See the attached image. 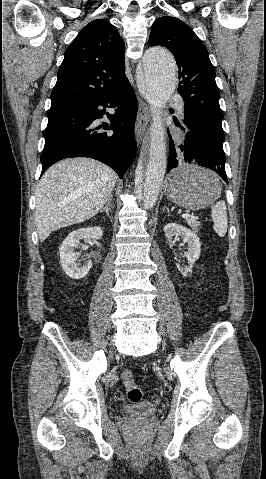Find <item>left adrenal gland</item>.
<instances>
[{"instance_id": "1", "label": "left adrenal gland", "mask_w": 266, "mask_h": 479, "mask_svg": "<svg viewBox=\"0 0 266 479\" xmlns=\"http://www.w3.org/2000/svg\"><path fill=\"white\" fill-rule=\"evenodd\" d=\"M164 210H167L168 213L170 212L169 208L166 206L164 207Z\"/></svg>"}]
</instances>
